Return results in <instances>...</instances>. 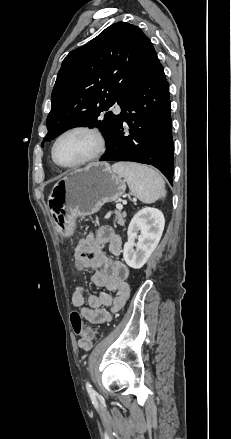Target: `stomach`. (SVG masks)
<instances>
[{"label":"stomach","mask_w":231,"mask_h":439,"mask_svg":"<svg viewBox=\"0 0 231 439\" xmlns=\"http://www.w3.org/2000/svg\"><path fill=\"white\" fill-rule=\"evenodd\" d=\"M126 183L108 163H92L57 181L47 205L58 232L71 236L76 219L97 213L107 202L125 193Z\"/></svg>","instance_id":"1"}]
</instances>
